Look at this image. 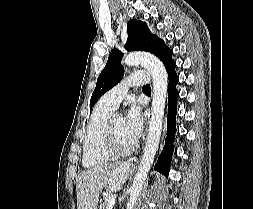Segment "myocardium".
<instances>
[{
	"mask_svg": "<svg viewBox=\"0 0 253 209\" xmlns=\"http://www.w3.org/2000/svg\"><path fill=\"white\" fill-rule=\"evenodd\" d=\"M116 117L117 115H112L104 127L102 149L111 158H122L132 154L137 149V143L134 142L132 146L126 149L117 148L113 129Z\"/></svg>",
	"mask_w": 253,
	"mask_h": 209,
	"instance_id": "f54148a6",
	"label": "myocardium"
}]
</instances>
